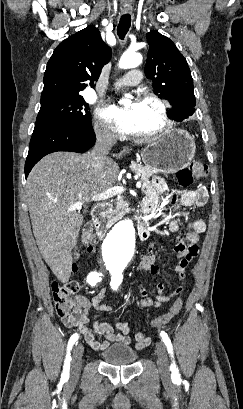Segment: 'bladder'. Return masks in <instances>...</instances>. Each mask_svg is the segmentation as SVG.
<instances>
[{
  "label": "bladder",
  "mask_w": 243,
  "mask_h": 409,
  "mask_svg": "<svg viewBox=\"0 0 243 409\" xmlns=\"http://www.w3.org/2000/svg\"><path fill=\"white\" fill-rule=\"evenodd\" d=\"M101 356L105 363L114 366L131 365L138 357L133 348L124 344H115L104 349Z\"/></svg>",
  "instance_id": "1"
}]
</instances>
